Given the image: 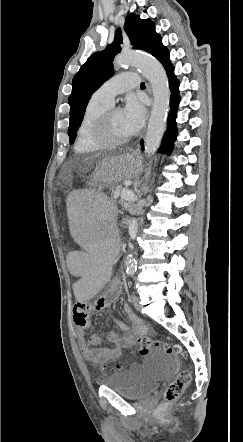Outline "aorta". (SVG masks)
<instances>
[{
    "mask_svg": "<svg viewBox=\"0 0 243 442\" xmlns=\"http://www.w3.org/2000/svg\"><path fill=\"white\" fill-rule=\"evenodd\" d=\"M114 65L121 68L139 69L151 84L153 107L144 139L145 154L147 157H151L161 142L169 110L170 89L167 74L157 59L132 51L124 52ZM127 269L129 272L135 269L131 255L127 256Z\"/></svg>",
    "mask_w": 243,
    "mask_h": 442,
    "instance_id": "obj_1",
    "label": "aorta"
}]
</instances>
